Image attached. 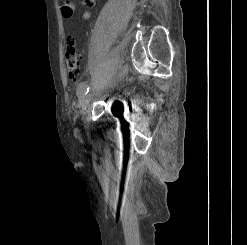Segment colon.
I'll use <instances>...</instances> for the list:
<instances>
[{
	"label": "colon",
	"instance_id": "5ec220e1",
	"mask_svg": "<svg viewBox=\"0 0 247 245\" xmlns=\"http://www.w3.org/2000/svg\"><path fill=\"white\" fill-rule=\"evenodd\" d=\"M65 61L68 77L76 80L81 73V60L76 48V41L68 37L65 48Z\"/></svg>",
	"mask_w": 247,
	"mask_h": 245
}]
</instances>
